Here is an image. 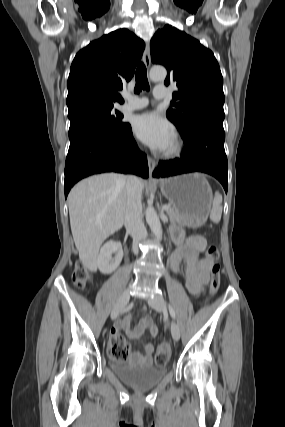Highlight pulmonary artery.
<instances>
[{"mask_svg": "<svg viewBox=\"0 0 285 427\" xmlns=\"http://www.w3.org/2000/svg\"><path fill=\"white\" fill-rule=\"evenodd\" d=\"M154 98L155 99H164L167 97L168 92L167 88L164 85H157L154 89ZM148 105V99L145 97H132L126 95V102L121 105V110L123 111H133L146 107Z\"/></svg>", "mask_w": 285, "mask_h": 427, "instance_id": "e3ab8cb5", "label": "pulmonary artery"}]
</instances>
